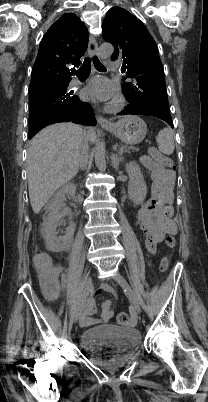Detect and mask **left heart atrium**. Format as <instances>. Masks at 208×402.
<instances>
[{
	"label": "left heart atrium",
	"instance_id": "obj_1",
	"mask_svg": "<svg viewBox=\"0 0 208 402\" xmlns=\"http://www.w3.org/2000/svg\"><path fill=\"white\" fill-rule=\"evenodd\" d=\"M114 93L115 86L107 78L96 76L81 90V98L88 102L104 101Z\"/></svg>",
	"mask_w": 208,
	"mask_h": 402
}]
</instances>
